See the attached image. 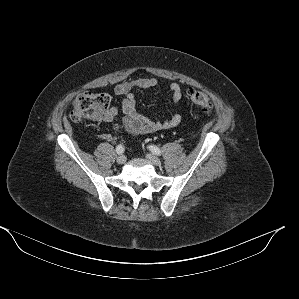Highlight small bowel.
<instances>
[{"label": "small bowel", "mask_w": 299, "mask_h": 299, "mask_svg": "<svg viewBox=\"0 0 299 299\" xmlns=\"http://www.w3.org/2000/svg\"><path fill=\"white\" fill-rule=\"evenodd\" d=\"M160 85L156 78H140L132 81L122 82L114 85L113 91L115 95L122 98L121 110L123 113L122 124L125 130L131 136L149 134L160 130L171 129L178 126L182 121V115L179 112H173L170 118L165 120H154L141 115L135 106L136 90L153 89ZM168 89L171 92V104L176 107L182 97V90L178 83L171 82L168 84ZM118 110L116 107H110L104 116L99 119L101 122H113L117 116ZM105 140L110 141L112 136L104 134Z\"/></svg>", "instance_id": "small-bowel-1"}]
</instances>
